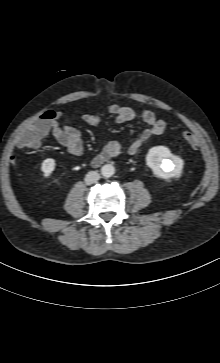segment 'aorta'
Returning a JSON list of instances; mask_svg holds the SVG:
<instances>
[{
    "mask_svg": "<svg viewBox=\"0 0 220 363\" xmlns=\"http://www.w3.org/2000/svg\"><path fill=\"white\" fill-rule=\"evenodd\" d=\"M115 173V168L111 164H106L101 168V174L104 177H111Z\"/></svg>",
    "mask_w": 220,
    "mask_h": 363,
    "instance_id": "1",
    "label": "aorta"
}]
</instances>
